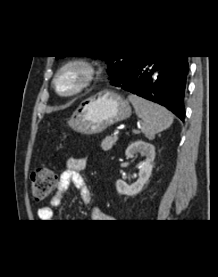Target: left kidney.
Masks as SVG:
<instances>
[{
  "mask_svg": "<svg viewBox=\"0 0 218 277\" xmlns=\"http://www.w3.org/2000/svg\"><path fill=\"white\" fill-rule=\"evenodd\" d=\"M137 153H141L145 156V160L139 164V178L136 182L131 185H128L123 180L116 181V189L119 194H124L128 196H134L138 194L144 184L149 180L152 168H153V161L155 158V147L147 142L142 140L136 141L128 146L125 151V155L128 158H133Z\"/></svg>",
  "mask_w": 218,
  "mask_h": 277,
  "instance_id": "obj_1",
  "label": "left kidney"
}]
</instances>
